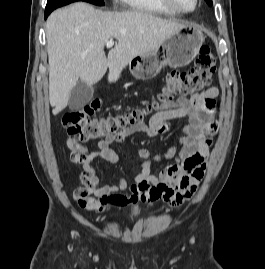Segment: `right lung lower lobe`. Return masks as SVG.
<instances>
[{
    "label": "right lung lower lobe",
    "instance_id": "obj_1",
    "mask_svg": "<svg viewBox=\"0 0 265 269\" xmlns=\"http://www.w3.org/2000/svg\"><path fill=\"white\" fill-rule=\"evenodd\" d=\"M77 1L79 0H48L45 8V19L54 9Z\"/></svg>",
    "mask_w": 265,
    "mask_h": 269
}]
</instances>
